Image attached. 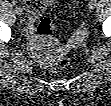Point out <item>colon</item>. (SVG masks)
Instances as JSON below:
<instances>
[{"label": "colon", "instance_id": "5ec220e1", "mask_svg": "<svg viewBox=\"0 0 111 106\" xmlns=\"http://www.w3.org/2000/svg\"><path fill=\"white\" fill-rule=\"evenodd\" d=\"M55 23L52 19L45 17L42 18L37 26V34L42 39H48L55 31ZM51 59L47 62V69L50 71H56L62 69L70 64V57L64 54V50L61 47H56L51 55Z\"/></svg>", "mask_w": 111, "mask_h": 106}]
</instances>
